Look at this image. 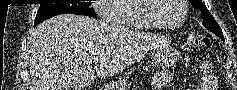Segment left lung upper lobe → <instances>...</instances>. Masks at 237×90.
<instances>
[{"mask_svg": "<svg viewBox=\"0 0 237 90\" xmlns=\"http://www.w3.org/2000/svg\"><path fill=\"white\" fill-rule=\"evenodd\" d=\"M190 2L195 9L201 10L203 25L208 30L215 33L217 36L224 40L221 28L219 27L213 16L209 13L206 5L202 2V0H190Z\"/></svg>", "mask_w": 237, "mask_h": 90, "instance_id": "left-lung-upper-lobe-1", "label": "left lung upper lobe"}]
</instances>
